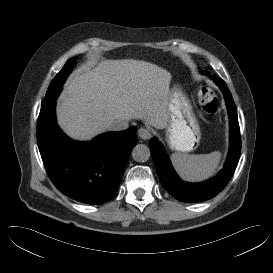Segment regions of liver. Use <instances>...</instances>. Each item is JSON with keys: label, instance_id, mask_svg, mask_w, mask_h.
Masks as SVG:
<instances>
[{"label": "liver", "instance_id": "6515ba94", "mask_svg": "<svg viewBox=\"0 0 273 273\" xmlns=\"http://www.w3.org/2000/svg\"><path fill=\"white\" fill-rule=\"evenodd\" d=\"M171 78L167 70L133 59L85 66L65 84L57 105L58 124L75 140H90L116 120L141 119L164 129Z\"/></svg>", "mask_w": 273, "mask_h": 273}]
</instances>
